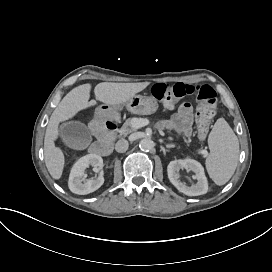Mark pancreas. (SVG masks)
Segmentation results:
<instances>
[{
  "label": "pancreas",
  "mask_w": 272,
  "mask_h": 272,
  "mask_svg": "<svg viewBox=\"0 0 272 272\" xmlns=\"http://www.w3.org/2000/svg\"><path fill=\"white\" fill-rule=\"evenodd\" d=\"M132 119L133 118H128L123 126L119 129V134L123 136H127L131 132H134L136 129L132 126ZM185 142L187 143L188 141L185 139Z\"/></svg>",
  "instance_id": "obj_1"
}]
</instances>
